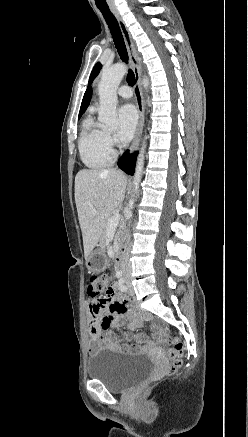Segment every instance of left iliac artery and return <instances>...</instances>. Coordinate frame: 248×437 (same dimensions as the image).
<instances>
[{"label":"left iliac artery","mask_w":248,"mask_h":437,"mask_svg":"<svg viewBox=\"0 0 248 437\" xmlns=\"http://www.w3.org/2000/svg\"><path fill=\"white\" fill-rule=\"evenodd\" d=\"M124 282H125L124 278H121L119 280V288L121 291L125 292V291H127V287L125 286Z\"/></svg>","instance_id":"left-iliac-artery-1"}]
</instances>
